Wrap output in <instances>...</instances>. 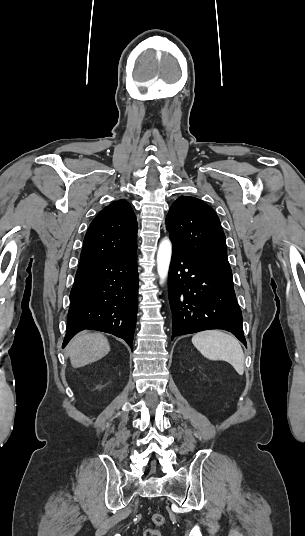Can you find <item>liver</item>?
Returning <instances> with one entry per match:
<instances>
[{
    "instance_id": "obj_1",
    "label": "liver",
    "mask_w": 305,
    "mask_h": 536,
    "mask_svg": "<svg viewBox=\"0 0 305 536\" xmlns=\"http://www.w3.org/2000/svg\"><path fill=\"white\" fill-rule=\"evenodd\" d=\"M72 368H82L101 360L110 352L107 338L103 334H77L66 348Z\"/></svg>"
}]
</instances>
